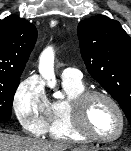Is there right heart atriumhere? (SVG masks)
<instances>
[{
    "label": "right heart atrium",
    "mask_w": 131,
    "mask_h": 151,
    "mask_svg": "<svg viewBox=\"0 0 131 151\" xmlns=\"http://www.w3.org/2000/svg\"><path fill=\"white\" fill-rule=\"evenodd\" d=\"M12 106L24 130L35 136L46 132L50 101L36 76L30 75L19 83L13 95Z\"/></svg>",
    "instance_id": "1"
}]
</instances>
